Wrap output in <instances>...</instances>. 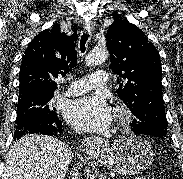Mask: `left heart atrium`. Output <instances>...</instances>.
I'll return each instance as SVG.
<instances>
[{
    "instance_id": "left-heart-atrium-1",
    "label": "left heart atrium",
    "mask_w": 183,
    "mask_h": 179,
    "mask_svg": "<svg viewBox=\"0 0 183 179\" xmlns=\"http://www.w3.org/2000/svg\"><path fill=\"white\" fill-rule=\"evenodd\" d=\"M67 119L74 125L90 132H101L112 121V111L101 95L86 96L70 103Z\"/></svg>"
}]
</instances>
